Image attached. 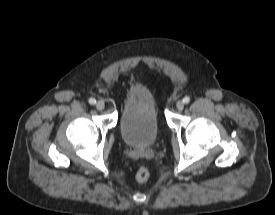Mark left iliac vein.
I'll return each instance as SVG.
<instances>
[{"mask_svg": "<svg viewBox=\"0 0 275 215\" xmlns=\"http://www.w3.org/2000/svg\"><path fill=\"white\" fill-rule=\"evenodd\" d=\"M176 108L178 109V110H183V108H184V102L183 101H178L177 103H176Z\"/></svg>", "mask_w": 275, "mask_h": 215, "instance_id": "1", "label": "left iliac vein"}]
</instances>
